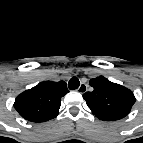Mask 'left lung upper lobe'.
<instances>
[{"instance_id":"left-lung-upper-lobe-1","label":"left lung upper lobe","mask_w":143,"mask_h":143,"mask_svg":"<svg viewBox=\"0 0 143 143\" xmlns=\"http://www.w3.org/2000/svg\"><path fill=\"white\" fill-rule=\"evenodd\" d=\"M93 91L83 94L87 106L100 120L115 121L127 116L136 99L132 91L103 76L90 80Z\"/></svg>"}]
</instances>
